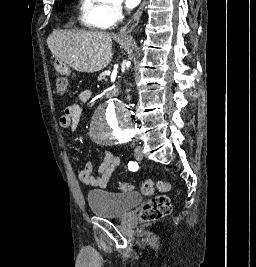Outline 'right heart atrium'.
Returning <instances> with one entry per match:
<instances>
[{
	"instance_id": "1",
	"label": "right heart atrium",
	"mask_w": 256,
	"mask_h": 267,
	"mask_svg": "<svg viewBox=\"0 0 256 267\" xmlns=\"http://www.w3.org/2000/svg\"><path fill=\"white\" fill-rule=\"evenodd\" d=\"M110 14L114 20H121L123 16L122 7L118 4H114L110 7Z\"/></svg>"
}]
</instances>
